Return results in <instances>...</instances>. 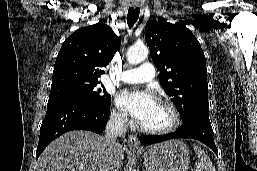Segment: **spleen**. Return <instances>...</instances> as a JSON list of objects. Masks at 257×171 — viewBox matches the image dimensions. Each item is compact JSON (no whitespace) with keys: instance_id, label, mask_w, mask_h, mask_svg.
<instances>
[{"instance_id":"obj_1","label":"spleen","mask_w":257,"mask_h":171,"mask_svg":"<svg viewBox=\"0 0 257 171\" xmlns=\"http://www.w3.org/2000/svg\"><path fill=\"white\" fill-rule=\"evenodd\" d=\"M193 149L198 156L195 162L194 171H215V167L209 156L197 145H193Z\"/></svg>"}]
</instances>
